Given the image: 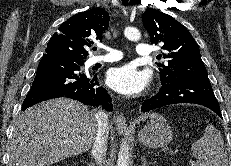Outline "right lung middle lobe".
<instances>
[{
  "instance_id": "dd1d6c3e",
  "label": "right lung middle lobe",
  "mask_w": 231,
  "mask_h": 166,
  "mask_svg": "<svg viewBox=\"0 0 231 166\" xmlns=\"http://www.w3.org/2000/svg\"><path fill=\"white\" fill-rule=\"evenodd\" d=\"M75 63L82 66L84 64V61H75Z\"/></svg>"
}]
</instances>
